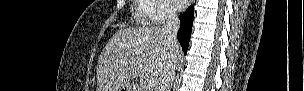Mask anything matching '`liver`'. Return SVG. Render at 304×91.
I'll use <instances>...</instances> for the list:
<instances>
[{
	"instance_id": "obj_1",
	"label": "liver",
	"mask_w": 304,
	"mask_h": 91,
	"mask_svg": "<svg viewBox=\"0 0 304 91\" xmlns=\"http://www.w3.org/2000/svg\"><path fill=\"white\" fill-rule=\"evenodd\" d=\"M171 44L156 26L117 31L97 65V91H121L136 77L160 78L172 60ZM179 60L181 49L177 52Z\"/></svg>"
}]
</instances>
